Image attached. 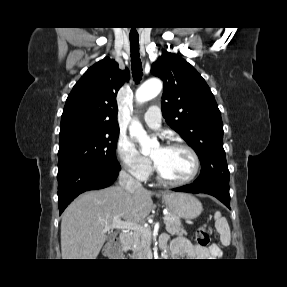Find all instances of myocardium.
<instances>
[{"label": "myocardium", "instance_id": "f54148a6", "mask_svg": "<svg viewBox=\"0 0 287 287\" xmlns=\"http://www.w3.org/2000/svg\"><path fill=\"white\" fill-rule=\"evenodd\" d=\"M163 147L167 148V149L181 148V149H185L186 151H188L193 158L194 168H193V171L189 177H187L183 180H172V179L167 178L161 172V170L158 167L155 160L152 159L153 168L156 172L157 178L161 182L168 184V185H172V186H182V185H186V184H189L192 181H194L196 179V177L198 176V174L200 172V168H201L200 157H199L198 153L196 152V150L193 147H191L190 145H188L186 143H182V142H169V143L165 144Z\"/></svg>", "mask_w": 287, "mask_h": 287}]
</instances>
